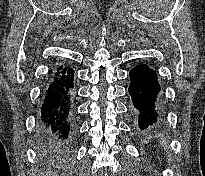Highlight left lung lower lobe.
Instances as JSON below:
<instances>
[{"label":"left lung lower lobe","mask_w":205,"mask_h":176,"mask_svg":"<svg viewBox=\"0 0 205 176\" xmlns=\"http://www.w3.org/2000/svg\"><path fill=\"white\" fill-rule=\"evenodd\" d=\"M129 94L134 114L141 130L159 122L162 111L159 101L160 84L156 72L146 64H138L130 70Z\"/></svg>","instance_id":"obj_1"}]
</instances>
